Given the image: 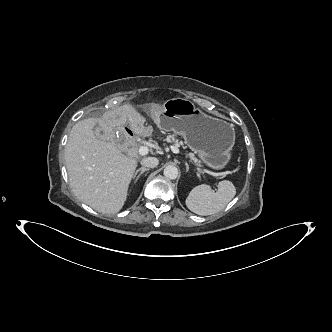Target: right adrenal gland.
I'll use <instances>...</instances> for the list:
<instances>
[{"label":"right adrenal gland","instance_id":"obj_1","mask_svg":"<svg viewBox=\"0 0 332 332\" xmlns=\"http://www.w3.org/2000/svg\"><path fill=\"white\" fill-rule=\"evenodd\" d=\"M150 168H145V167H141L139 169L136 170L134 176H133V179H134V183L137 182V180L139 179V177L146 171H149ZM140 172V174L137 176V174Z\"/></svg>","mask_w":332,"mask_h":332}]
</instances>
